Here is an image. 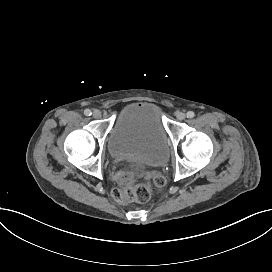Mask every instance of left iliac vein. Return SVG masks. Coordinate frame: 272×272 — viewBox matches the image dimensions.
<instances>
[{
	"label": "left iliac vein",
	"instance_id": "obj_1",
	"mask_svg": "<svg viewBox=\"0 0 272 272\" xmlns=\"http://www.w3.org/2000/svg\"><path fill=\"white\" fill-rule=\"evenodd\" d=\"M176 117L179 121H182L185 119L186 115L183 112H177Z\"/></svg>",
	"mask_w": 272,
	"mask_h": 272
}]
</instances>
